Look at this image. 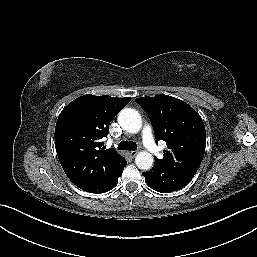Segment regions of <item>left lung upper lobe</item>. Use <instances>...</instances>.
Masks as SVG:
<instances>
[{
  "instance_id": "1",
  "label": "left lung upper lobe",
  "mask_w": 257,
  "mask_h": 257,
  "mask_svg": "<svg viewBox=\"0 0 257 257\" xmlns=\"http://www.w3.org/2000/svg\"><path fill=\"white\" fill-rule=\"evenodd\" d=\"M135 101L147 112L156 142L163 140L168 149L155 164L172 166L195 174L206 146V131L200 115L186 102L168 95L140 97Z\"/></svg>"
}]
</instances>
